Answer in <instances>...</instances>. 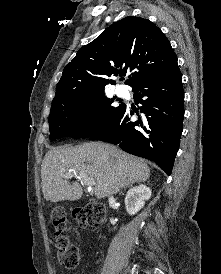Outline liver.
Segmentation results:
<instances>
[{
	"instance_id": "liver-1",
	"label": "liver",
	"mask_w": 221,
	"mask_h": 274,
	"mask_svg": "<svg viewBox=\"0 0 221 274\" xmlns=\"http://www.w3.org/2000/svg\"><path fill=\"white\" fill-rule=\"evenodd\" d=\"M86 173L95 180L98 199L116 194L121 188L144 182L150 168L141 159L102 142L56 148L46 153L41 165L42 192L47 201H75L82 197L81 185L64 175Z\"/></svg>"
}]
</instances>
